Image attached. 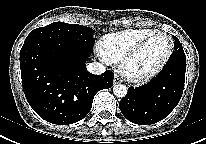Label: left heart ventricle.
I'll return each instance as SVG.
<instances>
[{"instance_id":"left-heart-ventricle-1","label":"left heart ventricle","mask_w":206,"mask_h":144,"mask_svg":"<svg viewBox=\"0 0 206 144\" xmlns=\"http://www.w3.org/2000/svg\"><path fill=\"white\" fill-rule=\"evenodd\" d=\"M169 46V40L165 36H155L132 61L131 70L136 73H144L154 69L166 57Z\"/></svg>"}]
</instances>
